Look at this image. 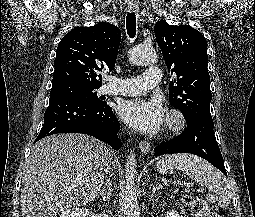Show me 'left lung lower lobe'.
<instances>
[{
  "label": "left lung lower lobe",
  "instance_id": "0a47b994",
  "mask_svg": "<svg viewBox=\"0 0 255 217\" xmlns=\"http://www.w3.org/2000/svg\"><path fill=\"white\" fill-rule=\"evenodd\" d=\"M213 127V120L204 118L196 120L188 124L182 134L158 145L154 149V156L172 153L195 154L206 159L227 176Z\"/></svg>",
  "mask_w": 255,
  "mask_h": 217
}]
</instances>
